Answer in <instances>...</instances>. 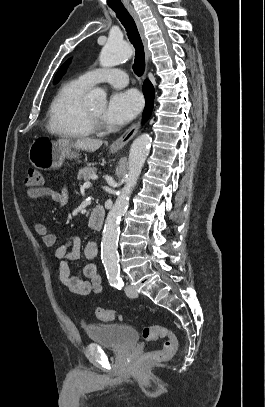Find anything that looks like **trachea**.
I'll use <instances>...</instances> for the list:
<instances>
[{"label": "trachea", "mask_w": 265, "mask_h": 407, "mask_svg": "<svg viewBox=\"0 0 265 407\" xmlns=\"http://www.w3.org/2000/svg\"><path fill=\"white\" fill-rule=\"evenodd\" d=\"M112 10L116 13L117 18L125 27L128 38L135 48V60L133 70L137 76H141L145 69V54L143 43L139 35L135 21L125 7H112Z\"/></svg>", "instance_id": "obj_1"}]
</instances>
